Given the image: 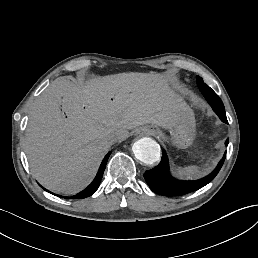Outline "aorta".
Returning <instances> with one entry per match:
<instances>
[{"mask_svg":"<svg viewBox=\"0 0 258 258\" xmlns=\"http://www.w3.org/2000/svg\"><path fill=\"white\" fill-rule=\"evenodd\" d=\"M135 157L144 164H154L161 156L160 146L151 138L144 137L132 146Z\"/></svg>","mask_w":258,"mask_h":258,"instance_id":"aorta-1","label":"aorta"}]
</instances>
